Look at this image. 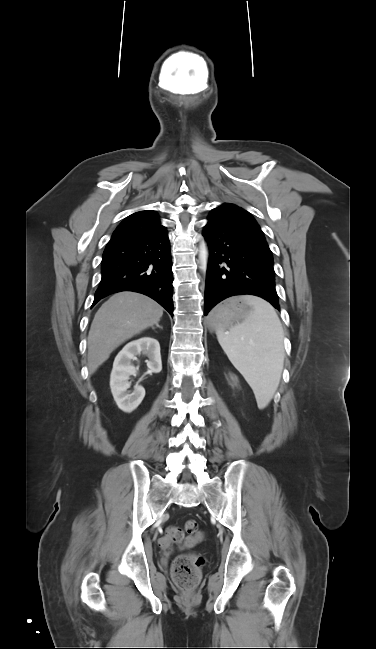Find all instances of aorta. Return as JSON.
Wrapping results in <instances>:
<instances>
[{
  "label": "aorta",
  "instance_id": "762f6f07",
  "mask_svg": "<svg viewBox=\"0 0 376 649\" xmlns=\"http://www.w3.org/2000/svg\"><path fill=\"white\" fill-rule=\"evenodd\" d=\"M199 259L201 263V269H206L208 261V249L205 242H202L200 244Z\"/></svg>",
  "mask_w": 376,
  "mask_h": 649
}]
</instances>
